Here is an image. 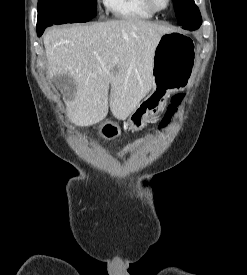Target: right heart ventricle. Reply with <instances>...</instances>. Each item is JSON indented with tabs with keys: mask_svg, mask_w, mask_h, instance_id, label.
<instances>
[{
	"mask_svg": "<svg viewBox=\"0 0 247 275\" xmlns=\"http://www.w3.org/2000/svg\"><path fill=\"white\" fill-rule=\"evenodd\" d=\"M104 2L108 10L121 19H150L155 15L144 0H104Z\"/></svg>",
	"mask_w": 247,
	"mask_h": 275,
	"instance_id": "right-heart-ventricle-1",
	"label": "right heart ventricle"
}]
</instances>
